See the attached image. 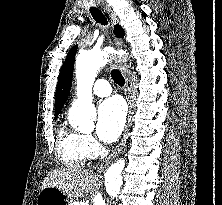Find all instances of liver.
<instances>
[{
    "mask_svg": "<svg viewBox=\"0 0 222 205\" xmlns=\"http://www.w3.org/2000/svg\"><path fill=\"white\" fill-rule=\"evenodd\" d=\"M95 184V177L92 172L84 170L79 166H67L51 171L41 189L54 187L62 190L69 198H80L91 191Z\"/></svg>",
    "mask_w": 222,
    "mask_h": 205,
    "instance_id": "6515ba94",
    "label": "liver"
}]
</instances>
